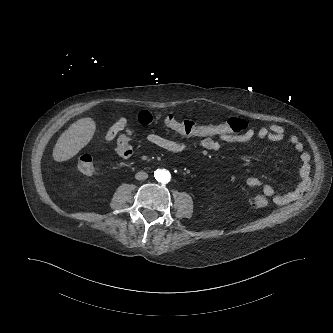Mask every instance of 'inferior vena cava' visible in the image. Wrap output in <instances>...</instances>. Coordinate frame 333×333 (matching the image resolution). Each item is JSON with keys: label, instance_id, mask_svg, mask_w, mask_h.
Returning a JSON list of instances; mask_svg holds the SVG:
<instances>
[{"label": "inferior vena cava", "instance_id": "obj_1", "mask_svg": "<svg viewBox=\"0 0 333 333\" xmlns=\"http://www.w3.org/2000/svg\"><path fill=\"white\" fill-rule=\"evenodd\" d=\"M135 178L137 180H146L148 178V174L141 171V172L136 173Z\"/></svg>", "mask_w": 333, "mask_h": 333}]
</instances>
